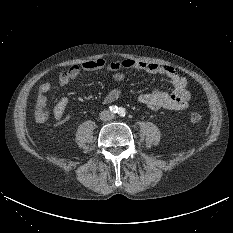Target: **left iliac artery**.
<instances>
[{
	"mask_svg": "<svg viewBox=\"0 0 233 233\" xmlns=\"http://www.w3.org/2000/svg\"><path fill=\"white\" fill-rule=\"evenodd\" d=\"M118 113L120 116H125V114H126L125 108H120Z\"/></svg>",
	"mask_w": 233,
	"mask_h": 233,
	"instance_id": "obj_1",
	"label": "left iliac artery"
}]
</instances>
